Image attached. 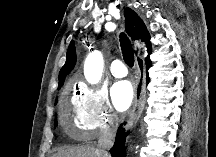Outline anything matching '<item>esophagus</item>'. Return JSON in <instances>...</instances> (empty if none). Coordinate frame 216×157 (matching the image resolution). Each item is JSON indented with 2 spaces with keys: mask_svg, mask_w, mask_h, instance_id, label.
<instances>
[{
  "mask_svg": "<svg viewBox=\"0 0 216 157\" xmlns=\"http://www.w3.org/2000/svg\"><path fill=\"white\" fill-rule=\"evenodd\" d=\"M136 51L138 53L137 58H136V64H137L139 75L141 77V75L144 74V64H143L142 59L139 56L140 49L138 46H136ZM143 94H144V86H143V83H140L139 81L136 86V90H135L133 107L130 112L129 119L127 121L125 129H128L138 117V114L143 106V101H144Z\"/></svg>",
  "mask_w": 216,
  "mask_h": 157,
  "instance_id": "esophagus-1",
  "label": "esophagus"
}]
</instances>
